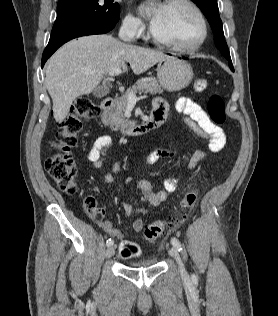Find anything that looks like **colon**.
Returning <instances> with one entry per match:
<instances>
[{
  "mask_svg": "<svg viewBox=\"0 0 278 316\" xmlns=\"http://www.w3.org/2000/svg\"><path fill=\"white\" fill-rule=\"evenodd\" d=\"M193 88L196 92H202L207 88L205 79H197ZM208 115L216 125L225 122V104L223 98L215 93L210 96L207 105ZM99 113L98 108L87 97L78 98L71 106L70 112L65 119L58 125V133L53 147L55 153L49 155L45 160V169L50 177L55 181L59 189L68 195L77 192L76 173L77 168L71 150L77 143V137L81 133L83 124L82 119H93ZM198 192L195 188L188 190L181 199V207L187 212L196 204ZM86 213L95 218L99 214L97 202L93 196H87L84 200ZM165 230L163 221H155L144 229V238L154 243ZM120 254L125 258L139 255L140 248L131 241H122L120 244Z\"/></svg>",
  "mask_w": 278,
  "mask_h": 316,
  "instance_id": "5ec220e1",
  "label": "colon"
}]
</instances>
